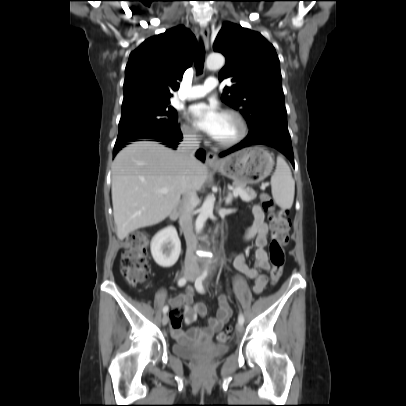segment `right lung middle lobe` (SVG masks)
Returning <instances> with one entry per match:
<instances>
[{
	"label": "right lung middle lobe",
	"mask_w": 406,
	"mask_h": 406,
	"mask_svg": "<svg viewBox=\"0 0 406 406\" xmlns=\"http://www.w3.org/2000/svg\"><path fill=\"white\" fill-rule=\"evenodd\" d=\"M170 102L145 101L122 107L117 141L169 133L177 126Z\"/></svg>",
	"instance_id": "dd1d6c3e"
}]
</instances>
